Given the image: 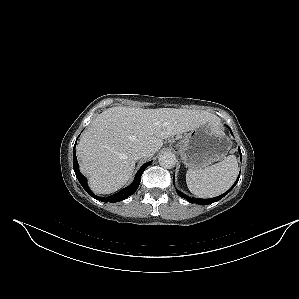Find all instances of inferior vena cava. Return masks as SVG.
<instances>
[{
	"label": "inferior vena cava",
	"instance_id": "inferior-vena-cava-1",
	"mask_svg": "<svg viewBox=\"0 0 299 299\" xmlns=\"http://www.w3.org/2000/svg\"><path fill=\"white\" fill-rule=\"evenodd\" d=\"M152 156L151 151L147 149H141L135 154V159L143 158V157H150Z\"/></svg>",
	"mask_w": 299,
	"mask_h": 299
}]
</instances>
